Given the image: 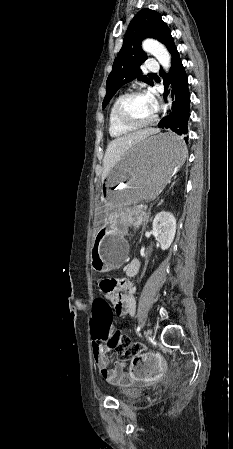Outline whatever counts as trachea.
I'll return each mask as SVG.
<instances>
[{"label":"trachea","mask_w":233,"mask_h":449,"mask_svg":"<svg viewBox=\"0 0 233 449\" xmlns=\"http://www.w3.org/2000/svg\"><path fill=\"white\" fill-rule=\"evenodd\" d=\"M149 75H155L154 73H150Z\"/></svg>","instance_id":"3493384b"}]
</instances>
